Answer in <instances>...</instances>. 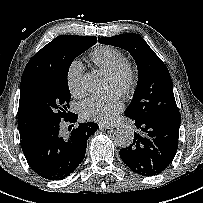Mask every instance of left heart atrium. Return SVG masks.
Listing matches in <instances>:
<instances>
[{"label":"left heart atrium","instance_id":"1","mask_svg":"<svg viewBox=\"0 0 203 203\" xmlns=\"http://www.w3.org/2000/svg\"><path fill=\"white\" fill-rule=\"evenodd\" d=\"M122 107L121 101L116 98L92 96L81 103L80 112L85 119L109 122Z\"/></svg>","mask_w":203,"mask_h":203}]
</instances>
